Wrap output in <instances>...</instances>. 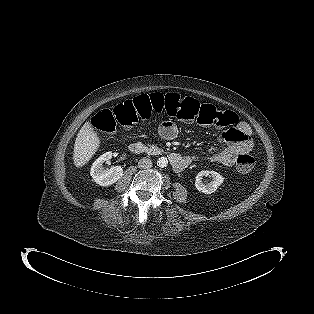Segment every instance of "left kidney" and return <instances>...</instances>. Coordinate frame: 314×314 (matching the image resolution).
<instances>
[{
  "mask_svg": "<svg viewBox=\"0 0 314 314\" xmlns=\"http://www.w3.org/2000/svg\"><path fill=\"white\" fill-rule=\"evenodd\" d=\"M212 176V181L205 183L202 181L203 176ZM224 178L222 175L215 171H201L196 176L195 187L199 192L204 194H212L223 183Z\"/></svg>",
  "mask_w": 314,
  "mask_h": 314,
  "instance_id": "obj_1",
  "label": "left kidney"
}]
</instances>
